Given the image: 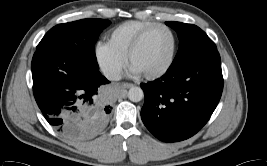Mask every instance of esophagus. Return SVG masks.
<instances>
[{
	"label": "esophagus",
	"mask_w": 267,
	"mask_h": 166,
	"mask_svg": "<svg viewBox=\"0 0 267 166\" xmlns=\"http://www.w3.org/2000/svg\"><path fill=\"white\" fill-rule=\"evenodd\" d=\"M122 86H123L124 88H130V87L133 86V84H131V83H124Z\"/></svg>",
	"instance_id": "obj_1"
}]
</instances>
